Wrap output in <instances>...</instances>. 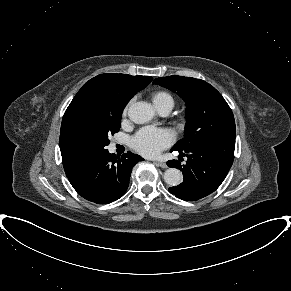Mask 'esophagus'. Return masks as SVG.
Masks as SVG:
<instances>
[{
	"label": "esophagus",
	"mask_w": 291,
	"mask_h": 291,
	"mask_svg": "<svg viewBox=\"0 0 291 291\" xmlns=\"http://www.w3.org/2000/svg\"><path fill=\"white\" fill-rule=\"evenodd\" d=\"M154 164L161 168H167V164L165 162L154 161Z\"/></svg>",
	"instance_id": "esophagus-1"
}]
</instances>
